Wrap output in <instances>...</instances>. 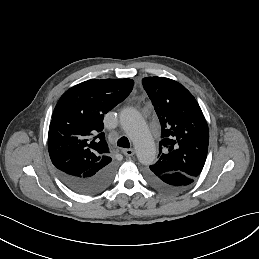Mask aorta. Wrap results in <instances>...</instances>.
Returning <instances> with one entry per match:
<instances>
[{
  "instance_id": "aorta-1",
  "label": "aorta",
  "mask_w": 259,
  "mask_h": 259,
  "mask_svg": "<svg viewBox=\"0 0 259 259\" xmlns=\"http://www.w3.org/2000/svg\"><path fill=\"white\" fill-rule=\"evenodd\" d=\"M120 123L135 146L138 160L144 165L153 164L157 156L155 143L139 112L133 108L122 110Z\"/></svg>"
}]
</instances>
